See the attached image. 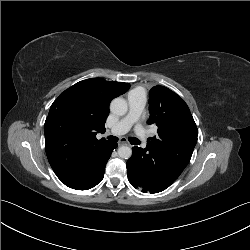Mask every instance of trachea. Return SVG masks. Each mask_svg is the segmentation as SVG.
<instances>
[{
    "mask_svg": "<svg viewBox=\"0 0 250 250\" xmlns=\"http://www.w3.org/2000/svg\"><path fill=\"white\" fill-rule=\"evenodd\" d=\"M107 139L111 142H117L118 141V138L116 136H108ZM129 142L132 144V145H138L140 144V141L135 138V137H129Z\"/></svg>",
    "mask_w": 250,
    "mask_h": 250,
    "instance_id": "3493384b",
    "label": "trachea"
}]
</instances>
